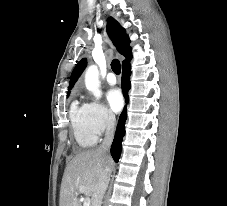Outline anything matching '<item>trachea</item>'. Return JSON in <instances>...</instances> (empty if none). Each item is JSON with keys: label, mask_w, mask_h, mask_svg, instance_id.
Masks as SVG:
<instances>
[{"label": "trachea", "mask_w": 227, "mask_h": 206, "mask_svg": "<svg viewBox=\"0 0 227 206\" xmlns=\"http://www.w3.org/2000/svg\"><path fill=\"white\" fill-rule=\"evenodd\" d=\"M111 68L113 70V72L117 75L120 74L121 72V66H120V62L118 59H114L111 63Z\"/></svg>", "instance_id": "obj_1"}]
</instances>
